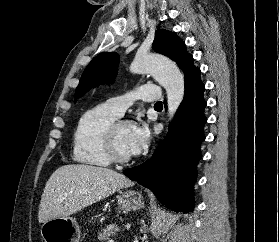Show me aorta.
Instances as JSON below:
<instances>
[{"instance_id":"obj_1","label":"aorta","mask_w":279,"mask_h":242,"mask_svg":"<svg viewBox=\"0 0 279 242\" xmlns=\"http://www.w3.org/2000/svg\"><path fill=\"white\" fill-rule=\"evenodd\" d=\"M132 73H149L165 88L168 99V120H172L184 97V76L168 58L156 55H136L130 65Z\"/></svg>"}]
</instances>
